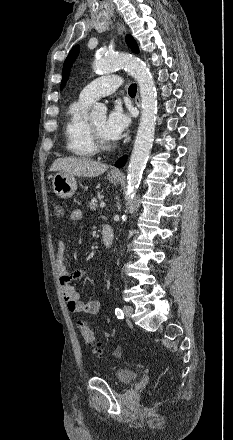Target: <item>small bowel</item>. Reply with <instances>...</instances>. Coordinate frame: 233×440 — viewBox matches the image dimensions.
Returning a JSON list of instances; mask_svg holds the SVG:
<instances>
[{
	"label": "small bowel",
	"mask_w": 233,
	"mask_h": 440,
	"mask_svg": "<svg viewBox=\"0 0 233 440\" xmlns=\"http://www.w3.org/2000/svg\"><path fill=\"white\" fill-rule=\"evenodd\" d=\"M83 217V213L79 209L70 212L69 219L71 221H79ZM66 246L63 241H59L56 247L55 266L59 277L61 289L67 307L70 312L74 314H85L95 316L99 313L101 304L98 300L84 302L80 299V294L77 289L71 285V282L87 276V272L82 269L70 270L65 265Z\"/></svg>",
	"instance_id": "small-bowel-1"
}]
</instances>
